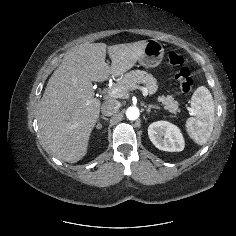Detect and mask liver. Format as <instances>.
Here are the masks:
<instances>
[{
    "label": "liver",
    "instance_id": "6515ba94",
    "mask_svg": "<svg viewBox=\"0 0 236 236\" xmlns=\"http://www.w3.org/2000/svg\"><path fill=\"white\" fill-rule=\"evenodd\" d=\"M146 44V40L108 47L84 43L64 56L39 103L43 140L58 158L75 163L86 155L101 106L92 82L123 75L139 60ZM106 52L111 66L105 62Z\"/></svg>",
    "mask_w": 236,
    "mask_h": 236
}]
</instances>
